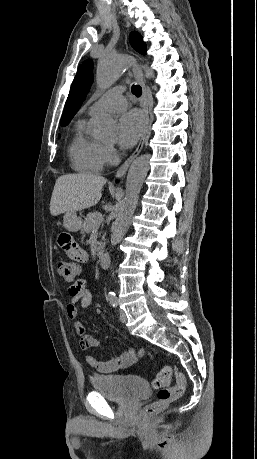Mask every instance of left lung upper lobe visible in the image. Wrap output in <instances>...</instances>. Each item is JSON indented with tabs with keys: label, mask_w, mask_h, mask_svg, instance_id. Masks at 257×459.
<instances>
[{
	"label": "left lung upper lobe",
	"mask_w": 257,
	"mask_h": 459,
	"mask_svg": "<svg viewBox=\"0 0 257 459\" xmlns=\"http://www.w3.org/2000/svg\"><path fill=\"white\" fill-rule=\"evenodd\" d=\"M130 42L134 49L141 54H146V45L142 36L137 32L130 34ZM93 62L86 60L79 67L77 74L72 82L70 93L68 95L64 112L61 117V125H67L76 112L79 110L82 102L85 100L87 93L93 81Z\"/></svg>",
	"instance_id": "left-lung-upper-lobe-1"
}]
</instances>
